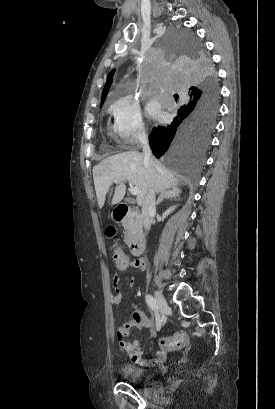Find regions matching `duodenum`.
<instances>
[{
    "instance_id": "410a0bca",
    "label": "duodenum",
    "mask_w": 275,
    "mask_h": 409,
    "mask_svg": "<svg viewBox=\"0 0 275 409\" xmlns=\"http://www.w3.org/2000/svg\"><path fill=\"white\" fill-rule=\"evenodd\" d=\"M131 207L127 204L120 203L118 204L113 212L114 219L122 223L126 221L128 216L131 214ZM146 246V239L143 231L141 230H135L132 233L131 239H130V251L132 252L133 255L135 256H140L143 254Z\"/></svg>"
}]
</instances>
